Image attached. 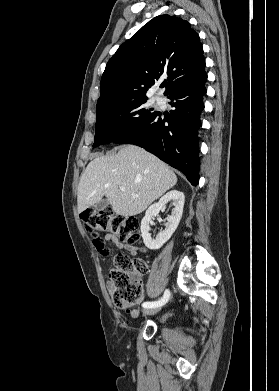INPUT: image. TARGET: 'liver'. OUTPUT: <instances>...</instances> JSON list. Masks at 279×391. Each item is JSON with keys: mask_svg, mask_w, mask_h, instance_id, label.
Listing matches in <instances>:
<instances>
[{"mask_svg": "<svg viewBox=\"0 0 279 391\" xmlns=\"http://www.w3.org/2000/svg\"><path fill=\"white\" fill-rule=\"evenodd\" d=\"M176 183L175 173L159 158L135 145L122 146L87 165L78 185V212L105 196L117 215H137Z\"/></svg>", "mask_w": 279, "mask_h": 391, "instance_id": "liver-1", "label": "liver"}]
</instances>
